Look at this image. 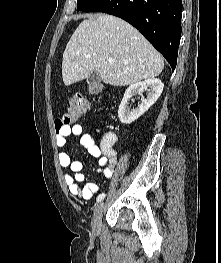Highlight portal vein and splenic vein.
I'll return each instance as SVG.
<instances>
[{
  "mask_svg": "<svg viewBox=\"0 0 221 263\" xmlns=\"http://www.w3.org/2000/svg\"><path fill=\"white\" fill-rule=\"evenodd\" d=\"M109 64H114V60L113 59H109Z\"/></svg>",
  "mask_w": 221,
  "mask_h": 263,
  "instance_id": "1",
  "label": "portal vein and splenic vein"
}]
</instances>
